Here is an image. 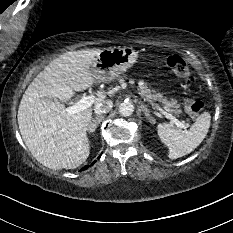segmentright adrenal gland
Listing matches in <instances>:
<instances>
[{"label":"right adrenal gland","instance_id":"2a0ac1e0","mask_svg":"<svg viewBox=\"0 0 233 233\" xmlns=\"http://www.w3.org/2000/svg\"><path fill=\"white\" fill-rule=\"evenodd\" d=\"M104 117H105L104 115H99L96 116L94 119H92L88 124L87 131L89 133L94 132L98 124L102 121V119H104Z\"/></svg>","mask_w":233,"mask_h":233}]
</instances>
